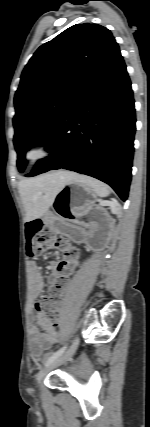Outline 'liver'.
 <instances>
[{
  "instance_id": "6515ba94",
  "label": "liver",
  "mask_w": 150,
  "mask_h": 427,
  "mask_svg": "<svg viewBox=\"0 0 150 427\" xmlns=\"http://www.w3.org/2000/svg\"><path fill=\"white\" fill-rule=\"evenodd\" d=\"M76 175L60 170L21 180L18 187L26 211V220L43 216L51 207L59 190Z\"/></svg>"
}]
</instances>
